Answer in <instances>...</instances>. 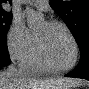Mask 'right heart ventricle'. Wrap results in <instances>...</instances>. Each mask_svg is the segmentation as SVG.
Here are the masks:
<instances>
[{
  "label": "right heart ventricle",
  "instance_id": "e07e8e85",
  "mask_svg": "<svg viewBox=\"0 0 89 89\" xmlns=\"http://www.w3.org/2000/svg\"><path fill=\"white\" fill-rule=\"evenodd\" d=\"M22 67L32 74H46L51 73L40 60L36 48L26 57L22 62Z\"/></svg>",
  "mask_w": 89,
  "mask_h": 89
}]
</instances>
